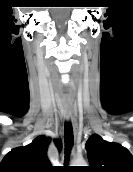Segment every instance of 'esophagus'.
Returning <instances> with one entry per match:
<instances>
[{"label": "esophagus", "mask_w": 133, "mask_h": 172, "mask_svg": "<svg viewBox=\"0 0 133 172\" xmlns=\"http://www.w3.org/2000/svg\"><path fill=\"white\" fill-rule=\"evenodd\" d=\"M65 118L68 122H70L72 124L74 133L76 134L77 133V124L73 118L71 110H68V109L65 110Z\"/></svg>", "instance_id": "obj_1"}]
</instances>
